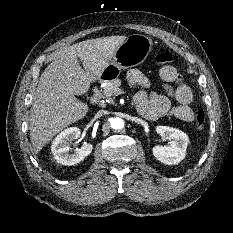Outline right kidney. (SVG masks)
Listing matches in <instances>:
<instances>
[{"label": "right kidney", "instance_id": "right-kidney-1", "mask_svg": "<svg viewBox=\"0 0 233 233\" xmlns=\"http://www.w3.org/2000/svg\"><path fill=\"white\" fill-rule=\"evenodd\" d=\"M80 133L79 128L70 127L62 131L53 140L51 151L57 162L68 166L74 165L84 160V158L92 152L93 145L88 143H85L81 148L76 149L74 153L69 152L70 142L77 139L80 136Z\"/></svg>", "mask_w": 233, "mask_h": 233}]
</instances>
